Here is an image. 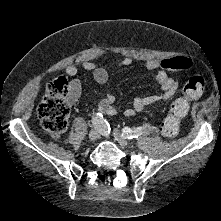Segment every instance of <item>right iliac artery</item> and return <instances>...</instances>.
Returning a JSON list of instances; mask_svg holds the SVG:
<instances>
[{
    "label": "right iliac artery",
    "instance_id": "1",
    "mask_svg": "<svg viewBox=\"0 0 221 221\" xmlns=\"http://www.w3.org/2000/svg\"><path fill=\"white\" fill-rule=\"evenodd\" d=\"M92 123L95 126V128L109 129V125L107 124L106 120H104L103 115L101 113H97L93 117Z\"/></svg>",
    "mask_w": 221,
    "mask_h": 221
}]
</instances>
